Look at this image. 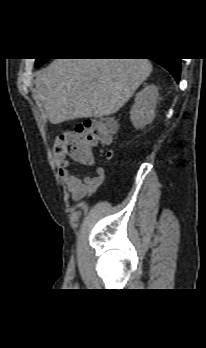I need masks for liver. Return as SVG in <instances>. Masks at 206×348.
<instances>
[{
    "mask_svg": "<svg viewBox=\"0 0 206 348\" xmlns=\"http://www.w3.org/2000/svg\"><path fill=\"white\" fill-rule=\"evenodd\" d=\"M151 72L148 59H55L38 72L34 97L52 124L108 116Z\"/></svg>",
    "mask_w": 206,
    "mask_h": 348,
    "instance_id": "6515ba94",
    "label": "liver"
}]
</instances>
